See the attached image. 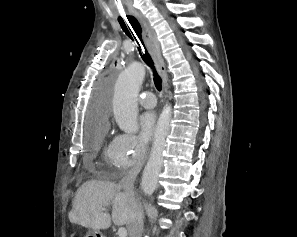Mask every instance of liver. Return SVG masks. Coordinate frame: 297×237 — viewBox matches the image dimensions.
<instances>
[{
  "instance_id": "obj_1",
  "label": "liver",
  "mask_w": 297,
  "mask_h": 237,
  "mask_svg": "<svg viewBox=\"0 0 297 237\" xmlns=\"http://www.w3.org/2000/svg\"><path fill=\"white\" fill-rule=\"evenodd\" d=\"M112 206V215L107 207ZM129 202L122 189L115 183L88 181L76 192L69 212L71 223L79 224L92 230H105L111 222L117 226L127 224Z\"/></svg>"
}]
</instances>
